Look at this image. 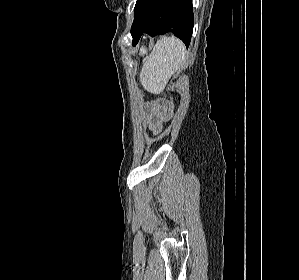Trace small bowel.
I'll use <instances>...</instances> for the list:
<instances>
[{
	"label": "small bowel",
	"instance_id": "small-bowel-1",
	"mask_svg": "<svg viewBox=\"0 0 299 280\" xmlns=\"http://www.w3.org/2000/svg\"><path fill=\"white\" fill-rule=\"evenodd\" d=\"M150 129L154 132V133H159L161 130V126L159 124L158 121H153L150 124Z\"/></svg>",
	"mask_w": 299,
	"mask_h": 280
}]
</instances>
